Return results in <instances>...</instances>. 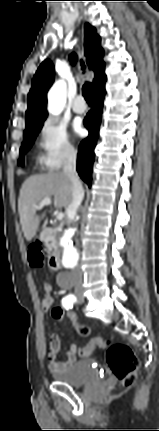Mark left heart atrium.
Here are the masks:
<instances>
[{
	"instance_id": "39dd6f15",
	"label": "left heart atrium",
	"mask_w": 159,
	"mask_h": 431,
	"mask_svg": "<svg viewBox=\"0 0 159 431\" xmlns=\"http://www.w3.org/2000/svg\"><path fill=\"white\" fill-rule=\"evenodd\" d=\"M74 131L76 132V134L78 135H83L84 133V129L82 128L80 123H75L74 124Z\"/></svg>"
}]
</instances>
